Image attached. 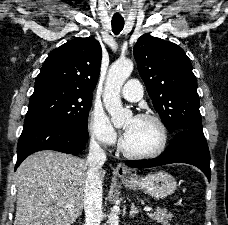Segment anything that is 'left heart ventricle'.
<instances>
[{
    "instance_id": "b2bd125f",
    "label": "left heart ventricle",
    "mask_w": 228,
    "mask_h": 225,
    "mask_svg": "<svg viewBox=\"0 0 228 225\" xmlns=\"http://www.w3.org/2000/svg\"><path fill=\"white\" fill-rule=\"evenodd\" d=\"M132 126L130 134L124 137L126 145L139 152H153L161 144L159 127L147 120L131 119L126 121L125 128Z\"/></svg>"
}]
</instances>
